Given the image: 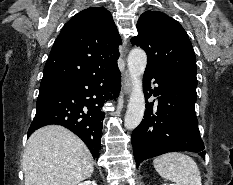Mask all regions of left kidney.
<instances>
[{
  "instance_id": "obj_1",
  "label": "left kidney",
  "mask_w": 233,
  "mask_h": 185,
  "mask_svg": "<svg viewBox=\"0 0 233 185\" xmlns=\"http://www.w3.org/2000/svg\"><path fill=\"white\" fill-rule=\"evenodd\" d=\"M163 185H175V184H163Z\"/></svg>"
}]
</instances>
